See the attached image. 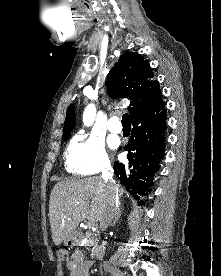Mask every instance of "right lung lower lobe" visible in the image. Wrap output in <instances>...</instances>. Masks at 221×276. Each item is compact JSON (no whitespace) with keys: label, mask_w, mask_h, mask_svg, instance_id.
<instances>
[{"label":"right lung lower lobe","mask_w":221,"mask_h":276,"mask_svg":"<svg viewBox=\"0 0 221 276\" xmlns=\"http://www.w3.org/2000/svg\"><path fill=\"white\" fill-rule=\"evenodd\" d=\"M128 164L114 163V172L127 191L139 199L147 196L165 150L166 109L162 101L153 109L132 118Z\"/></svg>","instance_id":"1"}]
</instances>
